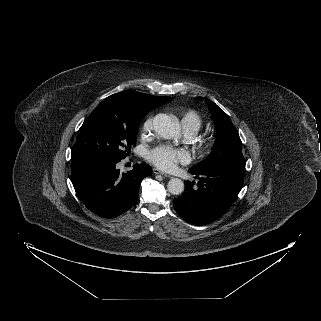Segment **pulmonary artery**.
I'll list each match as a JSON object with an SVG mask.
<instances>
[{"instance_id":"obj_1","label":"pulmonary artery","mask_w":321,"mask_h":321,"mask_svg":"<svg viewBox=\"0 0 321 321\" xmlns=\"http://www.w3.org/2000/svg\"><path fill=\"white\" fill-rule=\"evenodd\" d=\"M186 135H187V137H192L194 135V133L186 131Z\"/></svg>"}]
</instances>
